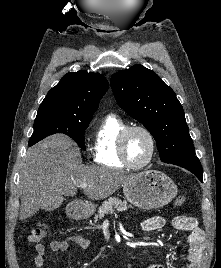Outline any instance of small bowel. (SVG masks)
I'll return each instance as SVG.
<instances>
[{"instance_id": "small-bowel-1", "label": "small bowel", "mask_w": 221, "mask_h": 268, "mask_svg": "<svg viewBox=\"0 0 221 268\" xmlns=\"http://www.w3.org/2000/svg\"><path fill=\"white\" fill-rule=\"evenodd\" d=\"M173 227L179 231L188 232L186 243L188 246V252L186 256V264L182 268H199L201 258L203 243L205 240V235L202 229L197 225V221L194 217L180 215L173 219ZM165 225V219L160 216H155L149 218L143 222V229L147 232L155 231L161 229ZM70 244H75L82 250H86L90 246V241L81 235H69L63 239L54 240L48 245L37 244L35 250L37 252L34 258V265L37 268L43 267L45 265V253L46 251L52 252H62L66 251ZM148 268H163L159 264H153Z\"/></svg>"}]
</instances>
